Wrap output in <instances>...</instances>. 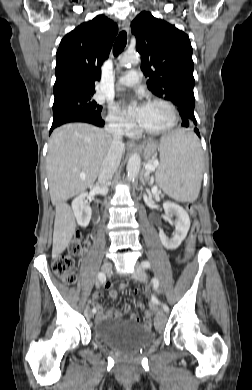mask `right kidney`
<instances>
[{"label": "right kidney", "instance_id": "ca27d5eb", "mask_svg": "<svg viewBox=\"0 0 252 390\" xmlns=\"http://www.w3.org/2000/svg\"><path fill=\"white\" fill-rule=\"evenodd\" d=\"M86 196L87 193H82L72 201V210L74 216L77 220L78 225H80L81 227L88 226L92 215L91 207L85 201Z\"/></svg>", "mask_w": 252, "mask_h": 390}]
</instances>
